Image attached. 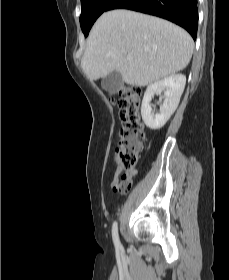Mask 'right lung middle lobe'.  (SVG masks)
Listing matches in <instances>:
<instances>
[{
    "label": "right lung middle lobe",
    "mask_w": 229,
    "mask_h": 280,
    "mask_svg": "<svg viewBox=\"0 0 229 280\" xmlns=\"http://www.w3.org/2000/svg\"><path fill=\"white\" fill-rule=\"evenodd\" d=\"M113 0H81L80 25L85 37L96 19L107 10Z\"/></svg>",
    "instance_id": "right-lung-middle-lobe-1"
}]
</instances>
